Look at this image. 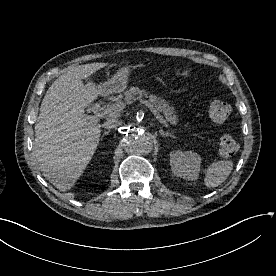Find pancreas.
Listing matches in <instances>:
<instances>
[{
  "label": "pancreas",
  "instance_id": "obj_1",
  "mask_svg": "<svg viewBox=\"0 0 276 276\" xmlns=\"http://www.w3.org/2000/svg\"><path fill=\"white\" fill-rule=\"evenodd\" d=\"M148 98L149 102L161 113L164 114L166 120L172 125L178 123V118L174 114V108L169 106V103L164 99L157 97L155 94H150L144 89L138 87H131L124 93V100L131 104L137 100Z\"/></svg>",
  "mask_w": 276,
  "mask_h": 276
}]
</instances>
